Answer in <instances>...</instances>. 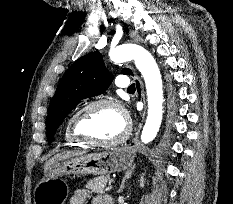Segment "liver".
I'll use <instances>...</instances> for the list:
<instances>
[{"label": "liver", "instance_id": "1", "mask_svg": "<svg viewBox=\"0 0 233 204\" xmlns=\"http://www.w3.org/2000/svg\"><path fill=\"white\" fill-rule=\"evenodd\" d=\"M85 152L82 151H65L62 153H58L56 154L54 157L50 158L45 164H44V173H46V171L48 170V168L58 162V161H62L71 157H75V156H79V155H83Z\"/></svg>", "mask_w": 233, "mask_h": 204}]
</instances>
